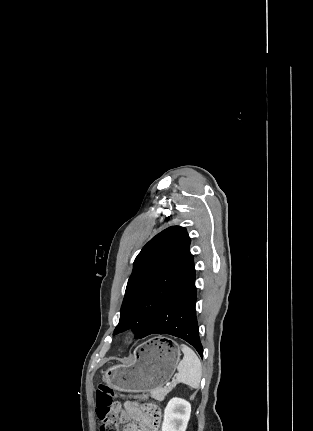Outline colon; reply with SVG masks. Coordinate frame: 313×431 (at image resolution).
I'll use <instances>...</instances> for the list:
<instances>
[{
	"instance_id": "obj_1",
	"label": "colon",
	"mask_w": 313,
	"mask_h": 431,
	"mask_svg": "<svg viewBox=\"0 0 313 431\" xmlns=\"http://www.w3.org/2000/svg\"><path fill=\"white\" fill-rule=\"evenodd\" d=\"M119 395L122 396L123 394L105 383L99 384L96 390V413L101 422L100 431H119L116 414L111 408L113 399ZM136 398L144 400L146 395L139 394ZM148 412L156 421V431L160 420L159 409L156 405L149 404Z\"/></svg>"
}]
</instances>
